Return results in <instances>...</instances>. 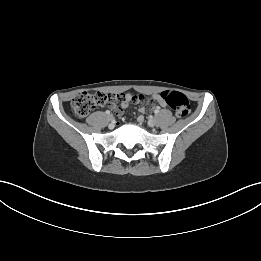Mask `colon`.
<instances>
[{"label": "colon", "instance_id": "obj_1", "mask_svg": "<svg viewBox=\"0 0 261 261\" xmlns=\"http://www.w3.org/2000/svg\"><path fill=\"white\" fill-rule=\"evenodd\" d=\"M160 96L161 99L174 110L175 114L178 117H186L189 114L190 104L187 97L184 94L177 91H164L160 94ZM115 100H121V96H110L103 92H83L76 95L72 99L71 107L73 113L77 117H84L88 115L96 107L104 105L108 101Z\"/></svg>", "mask_w": 261, "mask_h": 261}]
</instances>
